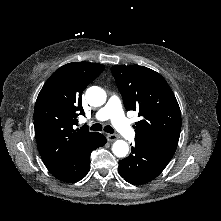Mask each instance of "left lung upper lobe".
Here are the masks:
<instances>
[{
	"mask_svg": "<svg viewBox=\"0 0 221 221\" xmlns=\"http://www.w3.org/2000/svg\"><path fill=\"white\" fill-rule=\"evenodd\" d=\"M111 72L126 110L138 111L135 140L174 155L181 131V112L166 80L144 66H113Z\"/></svg>",
	"mask_w": 221,
	"mask_h": 221,
	"instance_id": "5c2ea615",
	"label": "left lung upper lobe"
}]
</instances>
